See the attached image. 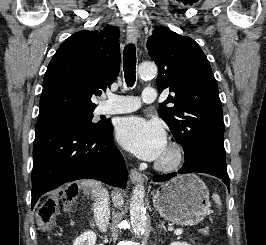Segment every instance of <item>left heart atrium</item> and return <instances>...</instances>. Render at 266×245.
Masks as SVG:
<instances>
[{"label":"left heart atrium","instance_id":"39dd6f15","mask_svg":"<svg viewBox=\"0 0 266 245\" xmlns=\"http://www.w3.org/2000/svg\"><path fill=\"white\" fill-rule=\"evenodd\" d=\"M116 136L124 148L145 160L159 159L166 149V134L162 126L141 117L120 119L116 125Z\"/></svg>","mask_w":266,"mask_h":245}]
</instances>
